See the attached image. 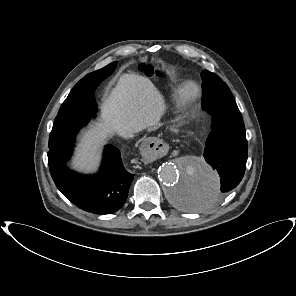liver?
<instances>
[{"instance_id":"6515ba94","label":"liver","mask_w":296,"mask_h":296,"mask_svg":"<svg viewBox=\"0 0 296 296\" xmlns=\"http://www.w3.org/2000/svg\"><path fill=\"white\" fill-rule=\"evenodd\" d=\"M163 96L146 77L124 74L101 106L102 122L85 132L74 160L79 170H93L98 161L100 141L120 129L132 128L137 132L156 126L165 113Z\"/></svg>"}]
</instances>
